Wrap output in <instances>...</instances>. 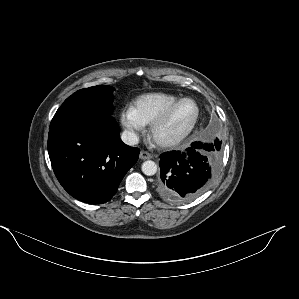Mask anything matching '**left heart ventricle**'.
Masks as SVG:
<instances>
[{
    "label": "left heart ventricle",
    "instance_id": "obj_1",
    "mask_svg": "<svg viewBox=\"0 0 299 299\" xmlns=\"http://www.w3.org/2000/svg\"><path fill=\"white\" fill-rule=\"evenodd\" d=\"M195 114L196 107L191 101L181 103L159 129L158 136L160 138H171L184 132L190 126Z\"/></svg>",
    "mask_w": 299,
    "mask_h": 299
}]
</instances>
